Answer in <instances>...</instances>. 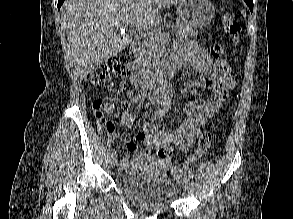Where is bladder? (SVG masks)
<instances>
[{
  "mask_svg": "<svg viewBox=\"0 0 293 219\" xmlns=\"http://www.w3.org/2000/svg\"><path fill=\"white\" fill-rule=\"evenodd\" d=\"M115 183L128 199L141 207L164 208L176 201L179 195L177 186L166 174L141 166L120 170Z\"/></svg>",
  "mask_w": 293,
  "mask_h": 219,
  "instance_id": "bladder-1",
  "label": "bladder"
}]
</instances>
